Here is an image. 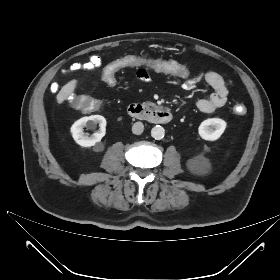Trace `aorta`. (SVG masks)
<instances>
[{
  "label": "aorta",
  "instance_id": "762f6f07",
  "mask_svg": "<svg viewBox=\"0 0 280 280\" xmlns=\"http://www.w3.org/2000/svg\"><path fill=\"white\" fill-rule=\"evenodd\" d=\"M164 135H165V130L163 127L159 125L154 126L151 130V136L156 140L162 139Z\"/></svg>",
  "mask_w": 280,
  "mask_h": 280
}]
</instances>
